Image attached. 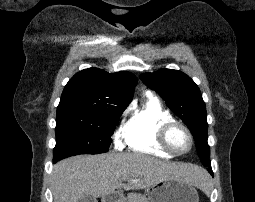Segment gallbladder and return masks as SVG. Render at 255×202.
Masks as SVG:
<instances>
[{
	"label": "gallbladder",
	"instance_id": "1",
	"mask_svg": "<svg viewBox=\"0 0 255 202\" xmlns=\"http://www.w3.org/2000/svg\"><path fill=\"white\" fill-rule=\"evenodd\" d=\"M78 202H96V198L92 196H84Z\"/></svg>",
	"mask_w": 255,
	"mask_h": 202
}]
</instances>
